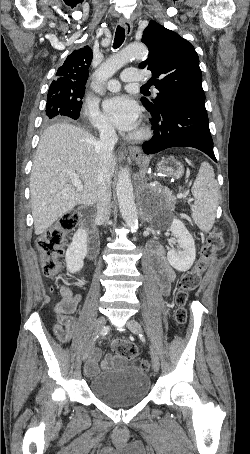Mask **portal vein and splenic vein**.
<instances>
[{"label":"portal vein and splenic vein","mask_w":250,"mask_h":454,"mask_svg":"<svg viewBox=\"0 0 250 454\" xmlns=\"http://www.w3.org/2000/svg\"><path fill=\"white\" fill-rule=\"evenodd\" d=\"M71 181H72L73 185L76 187L77 191L83 190V184H82L81 180L79 179L78 175H72ZM183 197H184V195L181 193L177 195V198H183Z\"/></svg>","instance_id":"obj_1"}]
</instances>
